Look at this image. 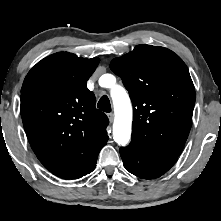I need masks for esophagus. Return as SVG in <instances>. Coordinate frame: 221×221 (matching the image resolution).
<instances>
[{"instance_id":"1","label":"esophagus","mask_w":221,"mask_h":221,"mask_svg":"<svg viewBox=\"0 0 221 221\" xmlns=\"http://www.w3.org/2000/svg\"><path fill=\"white\" fill-rule=\"evenodd\" d=\"M107 117H108L110 122H113V119H114V114L113 113H107Z\"/></svg>"}]
</instances>
